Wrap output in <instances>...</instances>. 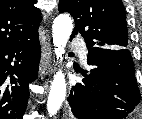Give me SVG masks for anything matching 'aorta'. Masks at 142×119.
Instances as JSON below:
<instances>
[{"mask_svg":"<svg viewBox=\"0 0 142 119\" xmlns=\"http://www.w3.org/2000/svg\"><path fill=\"white\" fill-rule=\"evenodd\" d=\"M73 30L71 17L66 14L57 16L52 25L53 43L57 59L62 62L65 53V46ZM66 96V81L62 71H58L51 83L50 93L47 101V111L50 116H54L60 109Z\"/></svg>","mask_w":142,"mask_h":119,"instance_id":"aorta-1","label":"aorta"}]
</instances>
